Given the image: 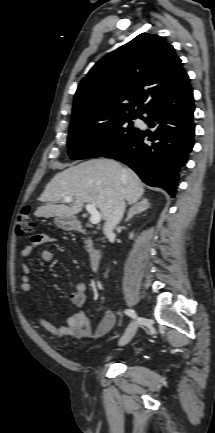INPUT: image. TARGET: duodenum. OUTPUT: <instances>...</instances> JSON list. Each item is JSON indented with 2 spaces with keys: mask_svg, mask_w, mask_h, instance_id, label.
<instances>
[{
  "mask_svg": "<svg viewBox=\"0 0 215 433\" xmlns=\"http://www.w3.org/2000/svg\"><path fill=\"white\" fill-rule=\"evenodd\" d=\"M71 229L74 231H77L81 234L93 236L91 232L87 229H85L81 222L79 221H73L71 223ZM102 255L100 251L96 249H92L90 253V267L93 271H97L99 269L100 263H101Z\"/></svg>",
  "mask_w": 215,
  "mask_h": 433,
  "instance_id": "obj_1",
  "label": "duodenum"
}]
</instances>
